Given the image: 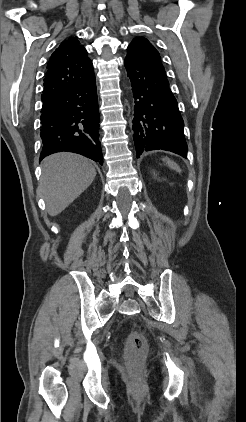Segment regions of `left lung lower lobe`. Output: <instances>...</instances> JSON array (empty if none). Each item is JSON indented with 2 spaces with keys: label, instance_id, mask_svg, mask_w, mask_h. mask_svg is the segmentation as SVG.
<instances>
[{
  "label": "left lung lower lobe",
  "instance_id": "1",
  "mask_svg": "<svg viewBox=\"0 0 246 422\" xmlns=\"http://www.w3.org/2000/svg\"><path fill=\"white\" fill-rule=\"evenodd\" d=\"M124 64L132 83L134 143L137 158L151 150L171 151L187 157L184 122L167 77L134 49H127Z\"/></svg>",
  "mask_w": 246,
  "mask_h": 422
}]
</instances>
